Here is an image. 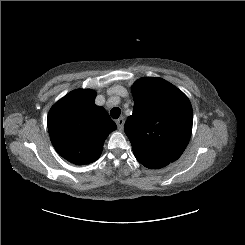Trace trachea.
Masks as SVG:
<instances>
[{
    "label": "trachea",
    "mask_w": 245,
    "mask_h": 245,
    "mask_svg": "<svg viewBox=\"0 0 245 245\" xmlns=\"http://www.w3.org/2000/svg\"><path fill=\"white\" fill-rule=\"evenodd\" d=\"M111 116L113 119H118L120 114H121V110L118 107H114L111 112H110Z\"/></svg>",
    "instance_id": "3493384b"
}]
</instances>
